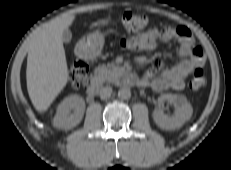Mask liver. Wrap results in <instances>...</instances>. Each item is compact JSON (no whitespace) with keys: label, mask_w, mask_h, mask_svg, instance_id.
<instances>
[{"label":"liver","mask_w":231,"mask_h":170,"mask_svg":"<svg viewBox=\"0 0 231 170\" xmlns=\"http://www.w3.org/2000/svg\"><path fill=\"white\" fill-rule=\"evenodd\" d=\"M74 16L47 23L32 40L27 57L26 80L30 100L39 112L46 111L68 82L63 32Z\"/></svg>","instance_id":"liver-1"}]
</instances>
